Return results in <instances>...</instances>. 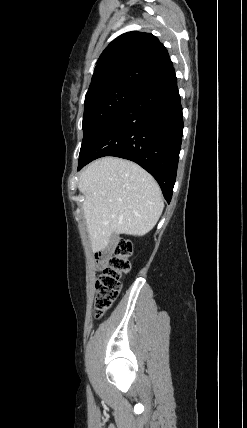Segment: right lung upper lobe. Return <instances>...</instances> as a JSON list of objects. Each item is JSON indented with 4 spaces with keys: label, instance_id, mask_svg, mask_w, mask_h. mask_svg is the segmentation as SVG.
I'll use <instances>...</instances> for the list:
<instances>
[{
    "label": "right lung upper lobe",
    "instance_id": "1",
    "mask_svg": "<svg viewBox=\"0 0 247 428\" xmlns=\"http://www.w3.org/2000/svg\"><path fill=\"white\" fill-rule=\"evenodd\" d=\"M172 68L166 48L154 35L128 32L103 51L86 95L113 87L142 91Z\"/></svg>",
    "mask_w": 247,
    "mask_h": 428
}]
</instances>
